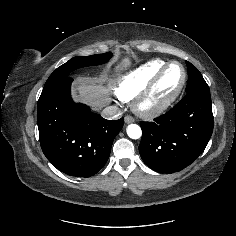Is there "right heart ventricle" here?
Segmentation results:
<instances>
[{
    "label": "right heart ventricle",
    "mask_w": 236,
    "mask_h": 236,
    "mask_svg": "<svg viewBox=\"0 0 236 236\" xmlns=\"http://www.w3.org/2000/svg\"><path fill=\"white\" fill-rule=\"evenodd\" d=\"M163 60H152L123 75L115 86L114 92L122 101L136 97L166 64Z\"/></svg>",
    "instance_id": "right-heart-ventricle-1"
}]
</instances>
